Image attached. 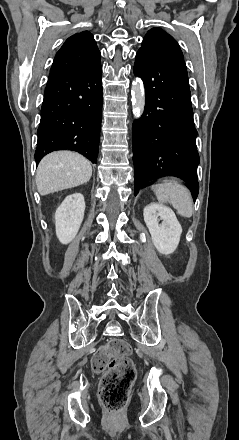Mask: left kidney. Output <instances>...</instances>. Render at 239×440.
I'll list each match as a JSON object with an SVG mask.
<instances>
[{
	"instance_id": "obj_1",
	"label": "left kidney",
	"mask_w": 239,
	"mask_h": 440,
	"mask_svg": "<svg viewBox=\"0 0 239 440\" xmlns=\"http://www.w3.org/2000/svg\"><path fill=\"white\" fill-rule=\"evenodd\" d=\"M143 216L156 250L166 256L173 254L180 242L182 228L171 208L152 202L144 208ZM158 220H163L162 224Z\"/></svg>"
}]
</instances>
